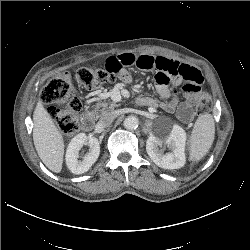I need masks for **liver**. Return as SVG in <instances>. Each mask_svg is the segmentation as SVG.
<instances>
[{
    "mask_svg": "<svg viewBox=\"0 0 250 250\" xmlns=\"http://www.w3.org/2000/svg\"><path fill=\"white\" fill-rule=\"evenodd\" d=\"M33 141L36 151L48 169L55 173L62 170L64 140L51 116L39 100L33 113Z\"/></svg>",
    "mask_w": 250,
    "mask_h": 250,
    "instance_id": "liver-1",
    "label": "liver"
}]
</instances>
